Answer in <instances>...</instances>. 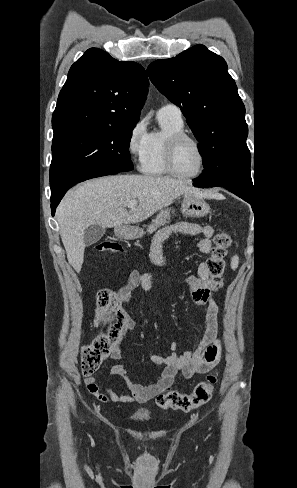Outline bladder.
I'll list each match as a JSON object with an SVG mask.
<instances>
[{
  "instance_id": "1",
  "label": "bladder",
  "mask_w": 297,
  "mask_h": 488,
  "mask_svg": "<svg viewBox=\"0 0 297 488\" xmlns=\"http://www.w3.org/2000/svg\"><path fill=\"white\" fill-rule=\"evenodd\" d=\"M130 419L134 422L141 423L149 420V416L144 412H135L130 416Z\"/></svg>"
}]
</instances>
